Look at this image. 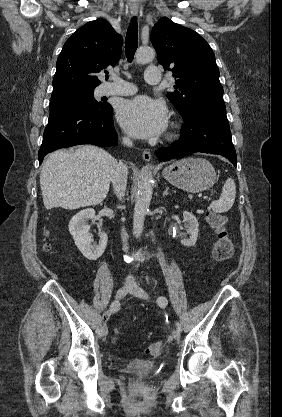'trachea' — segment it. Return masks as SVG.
I'll return each instance as SVG.
<instances>
[{
  "mask_svg": "<svg viewBox=\"0 0 282 417\" xmlns=\"http://www.w3.org/2000/svg\"><path fill=\"white\" fill-rule=\"evenodd\" d=\"M138 43V23L137 17H132L130 25L127 30L125 40V53L129 62L134 58Z\"/></svg>",
  "mask_w": 282,
  "mask_h": 417,
  "instance_id": "3493384b",
  "label": "trachea"
}]
</instances>
